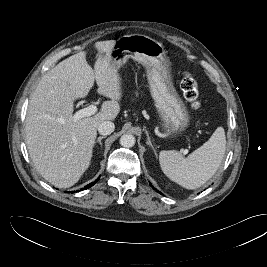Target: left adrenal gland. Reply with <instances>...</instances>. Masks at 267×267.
I'll use <instances>...</instances> for the list:
<instances>
[{"mask_svg":"<svg viewBox=\"0 0 267 267\" xmlns=\"http://www.w3.org/2000/svg\"><path fill=\"white\" fill-rule=\"evenodd\" d=\"M145 133H146V136H147V144L149 145V147L152 149V151L154 152L155 156H157V153H156V150L151 142V139L149 137V134H148V131L145 129Z\"/></svg>","mask_w":267,"mask_h":267,"instance_id":"a2214340","label":"left adrenal gland"}]
</instances>
